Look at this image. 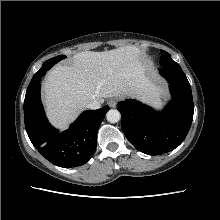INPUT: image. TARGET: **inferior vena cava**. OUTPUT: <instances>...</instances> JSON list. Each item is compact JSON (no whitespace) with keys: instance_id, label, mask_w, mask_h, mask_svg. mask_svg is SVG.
<instances>
[{"instance_id":"inferior-vena-cava-1","label":"inferior vena cava","mask_w":220,"mask_h":220,"mask_svg":"<svg viewBox=\"0 0 220 220\" xmlns=\"http://www.w3.org/2000/svg\"><path fill=\"white\" fill-rule=\"evenodd\" d=\"M100 107H101V103L97 100H94L93 102L87 105V108L92 110L99 109Z\"/></svg>"}]
</instances>
